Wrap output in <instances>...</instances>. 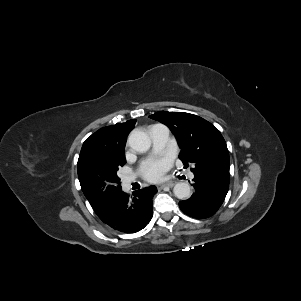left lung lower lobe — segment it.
<instances>
[{
  "instance_id": "left-lung-lower-lobe-1",
  "label": "left lung lower lobe",
  "mask_w": 301,
  "mask_h": 301,
  "mask_svg": "<svg viewBox=\"0 0 301 301\" xmlns=\"http://www.w3.org/2000/svg\"><path fill=\"white\" fill-rule=\"evenodd\" d=\"M193 195L179 202L180 209L194 218H208L214 215L223 203L229 184L206 175H195Z\"/></svg>"
}]
</instances>
